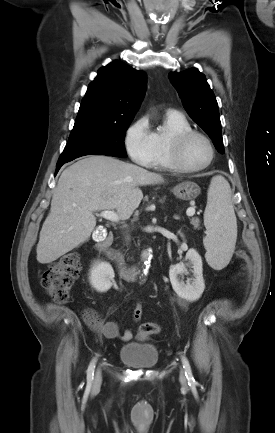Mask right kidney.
<instances>
[{"instance_id":"ca27d5eb","label":"right kidney","mask_w":275,"mask_h":433,"mask_svg":"<svg viewBox=\"0 0 275 433\" xmlns=\"http://www.w3.org/2000/svg\"><path fill=\"white\" fill-rule=\"evenodd\" d=\"M114 270L107 262H96L90 270V283L98 292L108 291L114 280Z\"/></svg>"}]
</instances>
